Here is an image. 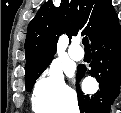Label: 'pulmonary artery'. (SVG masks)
I'll use <instances>...</instances> for the list:
<instances>
[{
    "mask_svg": "<svg viewBox=\"0 0 121 113\" xmlns=\"http://www.w3.org/2000/svg\"><path fill=\"white\" fill-rule=\"evenodd\" d=\"M69 55L75 61H80L84 57V52L78 47L77 44H72L69 48Z\"/></svg>",
    "mask_w": 121,
    "mask_h": 113,
    "instance_id": "pulmonary-artery-1",
    "label": "pulmonary artery"
}]
</instances>
